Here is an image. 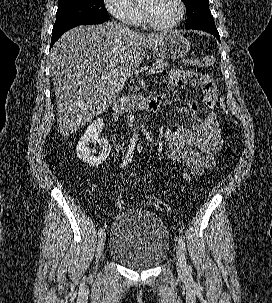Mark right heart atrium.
Segmentation results:
<instances>
[{"mask_svg": "<svg viewBox=\"0 0 272 303\" xmlns=\"http://www.w3.org/2000/svg\"><path fill=\"white\" fill-rule=\"evenodd\" d=\"M108 12L125 24H135L139 19L137 7L131 0H104Z\"/></svg>", "mask_w": 272, "mask_h": 303, "instance_id": "right-heart-atrium-1", "label": "right heart atrium"}]
</instances>
